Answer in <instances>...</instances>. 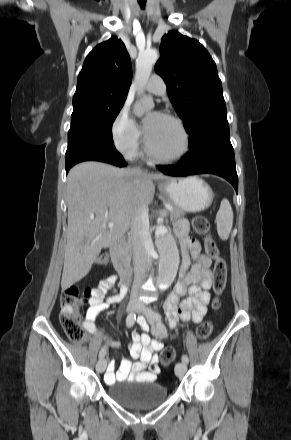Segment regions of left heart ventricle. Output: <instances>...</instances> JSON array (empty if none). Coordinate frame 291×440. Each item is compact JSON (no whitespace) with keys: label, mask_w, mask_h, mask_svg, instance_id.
Masks as SVG:
<instances>
[{"label":"left heart ventricle","mask_w":291,"mask_h":440,"mask_svg":"<svg viewBox=\"0 0 291 440\" xmlns=\"http://www.w3.org/2000/svg\"><path fill=\"white\" fill-rule=\"evenodd\" d=\"M150 116L151 114L146 119ZM146 135L151 146L162 156L174 157L183 149V136L180 130L175 123L162 115L152 122Z\"/></svg>","instance_id":"obj_1"}]
</instances>
